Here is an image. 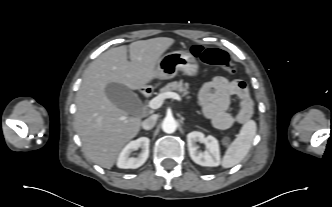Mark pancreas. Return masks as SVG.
Instances as JSON below:
<instances>
[{
    "label": "pancreas",
    "instance_id": "obj_1",
    "mask_svg": "<svg viewBox=\"0 0 332 207\" xmlns=\"http://www.w3.org/2000/svg\"><path fill=\"white\" fill-rule=\"evenodd\" d=\"M172 91H177L180 93H183V95L187 96V99H190L191 97L189 96V84L188 83H183L182 81H174L171 83H168L161 89V94L167 93V92H172Z\"/></svg>",
    "mask_w": 332,
    "mask_h": 207
}]
</instances>
